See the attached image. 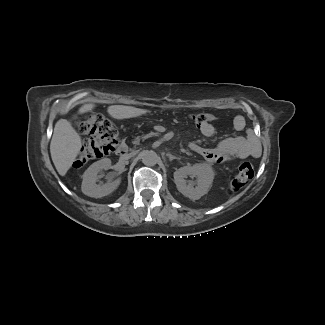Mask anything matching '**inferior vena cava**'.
Here are the masks:
<instances>
[{"label": "inferior vena cava", "instance_id": "inferior-vena-cava-1", "mask_svg": "<svg viewBox=\"0 0 325 325\" xmlns=\"http://www.w3.org/2000/svg\"><path fill=\"white\" fill-rule=\"evenodd\" d=\"M131 156H132L131 154H127V155H124L123 158H124L125 160H128L129 158H131Z\"/></svg>", "mask_w": 325, "mask_h": 325}]
</instances>
